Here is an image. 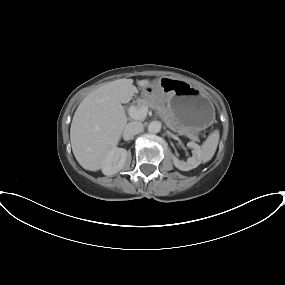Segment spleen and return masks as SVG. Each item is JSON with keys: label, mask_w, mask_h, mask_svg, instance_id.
<instances>
[{"label": "spleen", "mask_w": 285, "mask_h": 285, "mask_svg": "<svg viewBox=\"0 0 285 285\" xmlns=\"http://www.w3.org/2000/svg\"><path fill=\"white\" fill-rule=\"evenodd\" d=\"M220 133L218 130H214L209 134L207 139L203 142L201 146L202 151V161L208 162L212 159L217 149L219 143Z\"/></svg>", "instance_id": "1"}]
</instances>
